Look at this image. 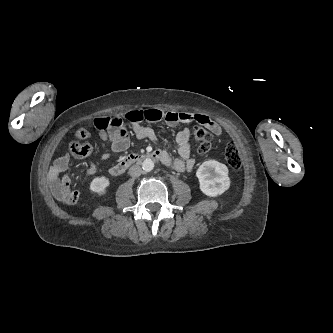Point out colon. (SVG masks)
Wrapping results in <instances>:
<instances>
[{
  "label": "colon",
  "mask_w": 333,
  "mask_h": 333,
  "mask_svg": "<svg viewBox=\"0 0 333 333\" xmlns=\"http://www.w3.org/2000/svg\"><path fill=\"white\" fill-rule=\"evenodd\" d=\"M126 119V117H125ZM160 119L159 116L156 118ZM94 125L98 130H119L125 131L124 121L121 117L102 116L94 120ZM83 134V128L79 129ZM193 137L200 142L198 146V153L200 155L207 154L211 149V133L203 128L196 127L193 132ZM70 152L77 158H84L89 156L93 151V145L90 143H82L78 141L71 142L69 145ZM226 163L233 169L238 170L241 167V158L237 146L233 142H229L224 151Z\"/></svg>",
  "instance_id": "obj_1"
}]
</instances>
